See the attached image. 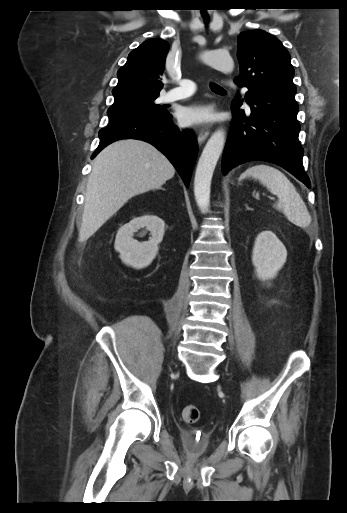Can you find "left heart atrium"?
Returning a JSON list of instances; mask_svg holds the SVG:
<instances>
[{
	"label": "left heart atrium",
	"instance_id": "1",
	"mask_svg": "<svg viewBox=\"0 0 347 513\" xmlns=\"http://www.w3.org/2000/svg\"><path fill=\"white\" fill-rule=\"evenodd\" d=\"M210 117L207 107L201 105L185 107L180 113V120L185 126H192L205 122Z\"/></svg>",
	"mask_w": 347,
	"mask_h": 513
}]
</instances>
